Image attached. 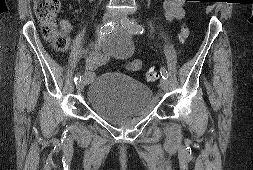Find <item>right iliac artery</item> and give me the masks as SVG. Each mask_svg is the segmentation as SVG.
I'll use <instances>...</instances> for the list:
<instances>
[{
	"instance_id": "right-iliac-artery-1",
	"label": "right iliac artery",
	"mask_w": 253,
	"mask_h": 170,
	"mask_svg": "<svg viewBox=\"0 0 253 170\" xmlns=\"http://www.w3.org/2000/svg\"><path fill=\"white\" fill-rule=\"evenodd\" d=\"M113 28H114V26L111 22L102 26L99 30L100 37H103L105 34L111 33ZM79 81H81V75L77 74L74 78V82H75V84H77Z\"/></svg>"
}]
</instances>
